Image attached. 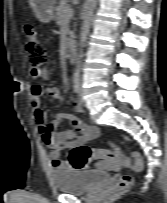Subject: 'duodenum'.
Masks as SVG:
<instances>
[{"label":"duodenum","instance_id":"duodenum-1","mask_svg":"<svg viewBox=\"0 0 167 203\" xmlns=\"http://www.w3.org/2000/svg\"><path fill=\"white\" fill-rule=\"evenodd\" d=\"M66 57L70 62L75 61L76 49H75V46L73 44H70L68 46L67 51H66Z\"/></svg>","mask_w":167,"mask_h":203}]
</instances>
